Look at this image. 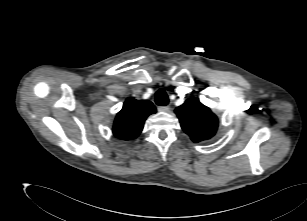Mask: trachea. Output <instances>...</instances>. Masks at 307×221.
Instances as JSON below:
<instances>
[{
  "mask_svg": "<svg viewBox=\"0 0 307 221\" xmlns=\"http://www.w3.org/2000/svg\"><path fill=\"white\" fill-rule=\"evenodd\" d=\"M155 102L159 106H165L168 104V95L164 89H159L155 94Z\"/></svg>",
  "mask_w": 307,
  "mask_h": 221,
  "instance_id": "trachea-1",
  "label": "trachea"
}]
</instances>
